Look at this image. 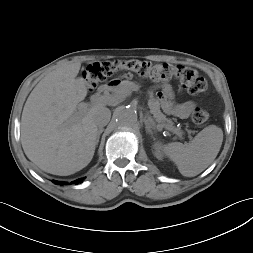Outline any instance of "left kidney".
I'll return each mask as SVG.
<instances>
[{"instance_id":"1","label":"left kidney","mask_w":253,"mask_h":253,"mask_svg":"<svg viewBox=\"0 0 253 253\" xmlns=\"http://www.w3.org/2000/svg\"><path fill=\"white\" fill-rule=\"evenodd\" d=\"M154 148H155L154 154H155L156 158L159 159V160H161L162 157H163L162 152H161V144L160 143H156L154 145Z\"/></svg>"}]
</instances>
